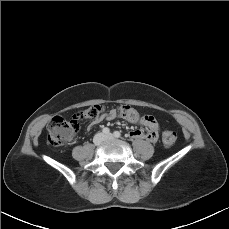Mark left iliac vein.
I'll return each mask as SVG.
<instances>
[{
  "mask_svg": "<svg viewBox=\"0 0 229 229\" xmlns=\"http://www.w3.org/2000/svg\"><path fill=\"white\" fill-rule=\"evenodd\" d=\"M106 140H111V139H114V136L113 134H108L106 137H105Z\"/></svg>",
  "mask_w": 229,
  "mask_h": 229,
  "instance_id": "4c4485c4",
  "label": "left iliac vein"
}]
</instances>
